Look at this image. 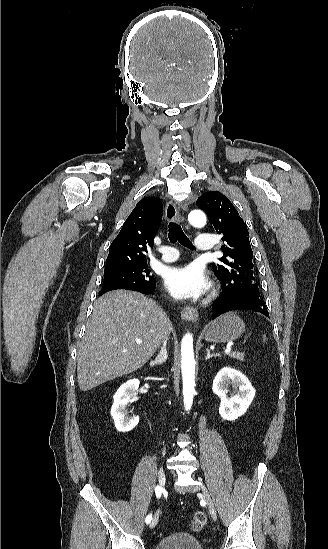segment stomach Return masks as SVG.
Wrapping results in <instances>:
<instances>
[{
	"label": "stomach",
	"instance_id": "0dacf381",
	"mask_svg": "<svg viewBox=\"0 0 328 549\" xmlns=\"http://www.w3.org/2000/svg\"><path fill=\"white\" fill-rule=\"evenodd\" d=\"M245 331V323L234 313H224L214 321H211L205 333V341L208 343H230L236 341Z\"/></svg>",
	"mask_w": 328,
	"mask_h": 549
}]
</instances>
